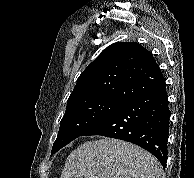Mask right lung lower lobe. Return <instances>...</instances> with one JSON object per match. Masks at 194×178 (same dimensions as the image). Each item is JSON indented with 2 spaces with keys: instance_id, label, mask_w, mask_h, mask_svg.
<instances>
[{
  "instance_id": "98d812e1",
  "label": "right lung lower lobe",
  "mask_w": 194,
  "mask_h": 178,
  "mask_svg": "<svg viewBox=\"0 0 194 178\" xmlns=\"http://www.w3.org/2000/svg\"><path fill=\"white\" fill-rule=\"evenodd\" d=\"M170 115L164 85L125 101L81 136L101 135L134 143L165 167Z\"/></svg>"
}]
</instances>
